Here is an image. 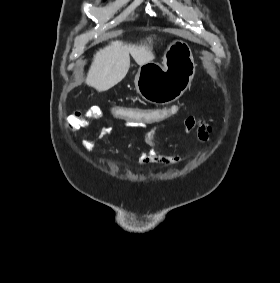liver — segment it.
Wrapping results in <instances>:
<instances>
[{"mask_svg": "<svg viewBox=\"0 0 280 283\" xmlns=\"http://www.w3.org/2000/svg\"><path fill=\"white\" fill-rule=\"evenodd\" d=\"M149 45L127 44L112 41L94 55L85 83L98 92L108 90L118 84L126 76L130 67V54L138 65L151 62L154 58L151 39Z\"/></svg>", "mask_w": 280, "mask_h": 283, "instance_id": "6515ba94", "label": "liver"}]
</instances>
